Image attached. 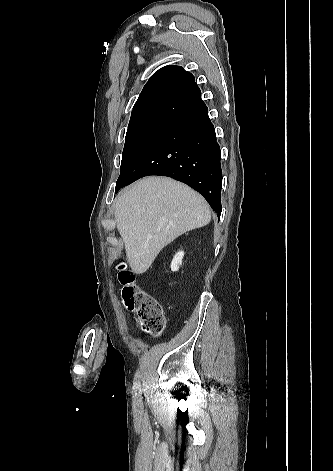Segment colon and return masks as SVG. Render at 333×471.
Wrapping results in <instances>:
<instances>
[{"instance_id":"5ec220e1","label":"colon","mask_w":333,"mask_h":471,"mask_svg":"<svg viewBox=\"0 0 333 471\" xmlns=\"http://www.w3.org/2000/svg\"><path fill=\"white\" fill-rule=\"evenodd\" d=\"M122 285L125 305L138 315L142 329L151 336L158 337L165 328V317L160 302L135 285L134 274L121 266L118 273Z\"/></svg>"}]
</instances>
